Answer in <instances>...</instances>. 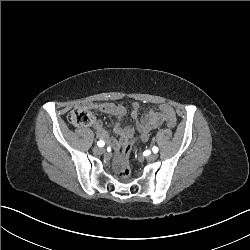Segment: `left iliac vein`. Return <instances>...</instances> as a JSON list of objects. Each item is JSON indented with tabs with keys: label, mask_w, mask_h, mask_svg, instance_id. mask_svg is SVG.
Masks as SVG:
<instances>
[{
	"label": "left iliac vein",
	"mask_w": 250,
	"mask_h": 250,
	"mask_svg": "<svg viewBox=\"0 0 250 250\" xmlns=\"http://www.w3.org/2000/svg\"><path fill=\"white\" fill-rule=\"evenodd\" d=\"M157 154L153 153L151 155H149L147 158L149 161H155L157 159Z\"/></svg>",
	"instance_id": "left-iliac-vein-1"
}]
</instances>
